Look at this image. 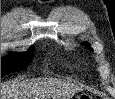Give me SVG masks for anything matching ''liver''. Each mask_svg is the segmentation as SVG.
Wrapping results in <instances>:
<instances>
[{
    "instance_id": "6515ba94",
    "label": "liver",
    "mask_w": 115,
    "mask_h": 99,
    "mask_svg": "<svg viewBox=\"0 0 115 99\" xmlns=\"http://www.w3.org/2000/svg\"><path fill=\"white\" fill-rule=\"evenodd\" d=\"M75 87L57 79H30L5 84L1 99H68Z\"/></svg>"
}]
</instances>
